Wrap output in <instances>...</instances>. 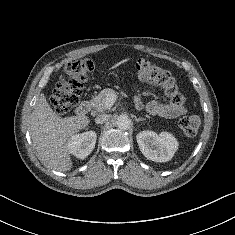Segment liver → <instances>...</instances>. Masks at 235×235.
I'll return each instance as SVG.
<instances>
[{"label":"liver","instance_id":"6515ba94","mask_svg":"<svg viewBox=\"0 0 235 235\" xmlns=\"http://www.w3.org/2000/svg\"><path fill=\"white\" fill-rule=\"evenodd\" d=\"M87 116L61 118L53 112L44 94H40L31 114V138L42 161L48 167L66 172L72 168L68 149L71 137L89 124Z\"/></svg>","mask_w":235,"mask_h":235}]
</instances>
